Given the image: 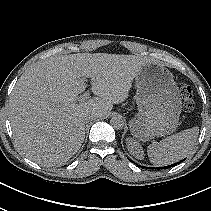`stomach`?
Returning <instances> with one entry per match:
<instances>
[{
	"label": "stomach",
	"instance_id": "1",
	"mask_svg": "<svg viewBox=\"0 0 211 211\" xmlns=\"http://www.w3.org/2000/svg\"><path fill=\"white\" fill-rule=\"evenodd\" d=\"M135 82L138 113L130 121L132 135L148 141L173 133L179 125L182 100L172 73L161 64L148 62Z\"/></svg>",
	"mask_w": 211,
	"mask_h": 211
}]
</instances>
